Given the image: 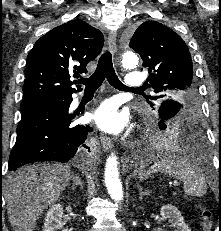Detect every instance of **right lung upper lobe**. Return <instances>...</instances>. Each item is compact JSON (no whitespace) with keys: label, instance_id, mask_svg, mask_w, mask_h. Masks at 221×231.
Here are the masks:
<instances>
[{"label":"right lung upper lobe","instance_id":"cb5924a9","mask_svg":"<svg viewBox=\"0 0 221 231\" xmlns=\"http://www.w3.org/2000/svg\"><path fill=\"white\" fill-rule=\"evenodd\" d=\"M103 34L83 20L62 24L42 36L26 62L23 100H45L71 96L70 77L87 73L86 65L101 52Z\"/></svg>","mask_w":221,"mask_h":231}]
</instances>
